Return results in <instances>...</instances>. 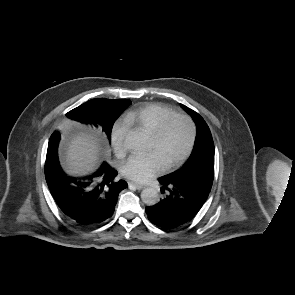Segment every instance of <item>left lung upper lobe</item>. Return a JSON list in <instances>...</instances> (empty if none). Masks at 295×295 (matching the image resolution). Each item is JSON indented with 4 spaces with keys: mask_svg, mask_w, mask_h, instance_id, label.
Listing matches in <instances>:
<instances>
[{
    "mask_svg": "<svg viewBox=\"0 0 295 295\" xmlns=\"http://www.w3.org/2000/svg\"><path fill=\"white\" fill-rule=\"evenodd\" d=\"M181 107L193 118L197 135L193 151L186 163L177 171L163 177L193 180L212 178L214 176V143L210 129L204 119L192 109L181 104Z\"/></svg>",
    "mask_w": 295,
    "mask_h": 295,
    "instance_id": "left-lung-upper-lobe-1",
    "label": "left lung upper lobe"
}]
</instances>
